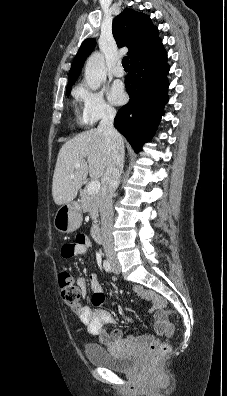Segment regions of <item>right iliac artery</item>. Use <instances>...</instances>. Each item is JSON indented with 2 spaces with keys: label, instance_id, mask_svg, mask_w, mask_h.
Wrapping results in <instances>:
<instances>
[{
  "label": "right iliac artery",
  "instance_id": "82829eb1",
  "mask_svg": "<svg viewBox=\"0 0 227 396\" xmlns=\"http://www.w3.org/2000/svg\"><path fill=\"white\" fill-rule=\"evenodd\" d=\"M103 267H104V269H105L107 272H112V267H111L109 261L104 260V262H103Z\"/></svg>",
  "mask_w": 227,
  "mask_h": 396
}]
</instances>
